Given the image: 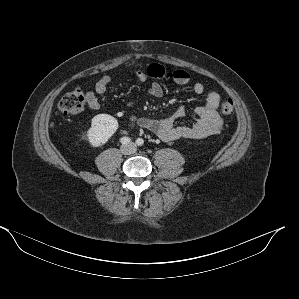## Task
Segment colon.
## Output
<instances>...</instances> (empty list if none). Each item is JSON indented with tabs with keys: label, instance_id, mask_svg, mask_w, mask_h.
Wrapping results in <instances>:
<instances>
[{
	"label": "colon",
	"instance_id": "obj_1",
	"mask_svg": "<svg viewBox=\"0 0 299 299\" xmlns=\"http://www.w3.org/2000/svg\"><path fill=\"white\" fill-rule=\"evenodd\" d=\"M86 102V96L81 89H73L67 92L58 104V111L65 116H72L79 114ZM221 113L224 116H231L234 112V102L232 99L227 98L221 102Z\"/></svg>",
	"mask_w": 299,
	"mask_h": 299
}]
</instances>
